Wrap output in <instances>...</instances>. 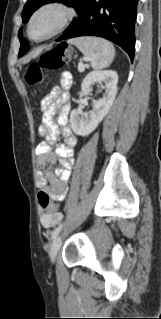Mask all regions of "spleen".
Segmentation results:
<instances>
[{"label": "spleen", "mask_w": 161, "mask_h": 319, "mask_svg": "<svg viewBox=\"0 0 161 319\" xmlns=\"http://www.w3.org/2000/svg\"><path fill=\"white\" fill-rule=\"evenodd\" d=\"M72 43L84 54L90 61L94 69L108 67L114 57L115 48L107 40L98 37H80L72 40Z\"/></svg>", "instance_id": "3e777b00"}]
</instances>
